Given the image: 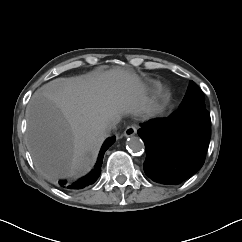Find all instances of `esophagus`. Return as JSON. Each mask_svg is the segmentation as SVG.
<instances>
[{
    "mask_svg": "<svg viewBox=\"0 0 242 242\" xmlns=\"http://www.w3.org/2000/svg\"><path fill=\"white\" fill-rule=\"evenodd\" d=\"M137 133V128L134 125L128 126L124 131V136L130 137Z\"/></svg>",
    "mask_w": 242,
    "mask_h": 242,
    "instance_id": "esophagus-1",
    "label": "esophagus"
}]
</instances>
